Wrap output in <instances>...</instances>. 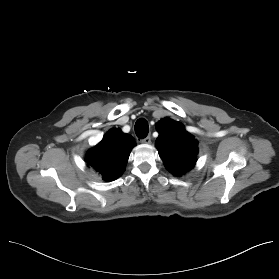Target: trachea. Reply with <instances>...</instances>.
Returning <instances> with one entry per match:
<instances>
[{
    "label": "trachea",
    "mask_w": 279,
    "mask_h": 279,
    "mask_svg": "<svg viewBox=\"0 0 279 279\" xmlns=\"http://www.w3.org/2000/svg\"><path fill=\"white\" fill-rule=\"evenodd\" d=\"M149 132V126L145 119L140 118L135 123V133L136 135L143 139L148 135Z\"/></svg>",
    "instance_id": "trachea-1"
}]
</instances>
